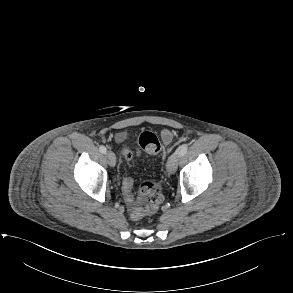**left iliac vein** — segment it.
<instances>
[{"instance_id":"obj_1","label":"left iliac vein","mask_w":293,"mask_h":293,"mask_svg":"<svg viewBox=\"0 0 293 293\" xmlns=\"http://www.w3.org/2000/svg\"><path fill=\"white\" fill-rule=\"evenodd\" d=\"M179 158H180V156H179L178 152L173 153L169 157L167 164H166V169L169 174H173L176 171Z\"/></svg>"}]
</instances>
